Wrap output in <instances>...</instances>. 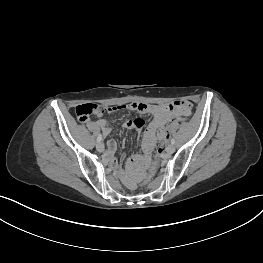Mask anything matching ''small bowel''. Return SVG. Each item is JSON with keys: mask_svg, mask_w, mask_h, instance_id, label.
<instances>
[{"mask_svg": "<svg viewBox=\"0 0 263 263\" xmlns=\"http://www.w3.org/2000/svg\"><path fill=\"white\" fill-rule=\"evenodd\" d=\"M137 106L141 102H132ZM131 103V104H132ZM146 104V103H145ZM149 108V111L146 113L152 117V121L148 125V128L144 134L143 138V149L146 156H148L155 143L157 141L162 142L165 138V129L164 126L166 123L174 117L181 119L184 115H189L191 113V107L189 105H184L183 107L180 104H169L164 106L150 105L146 104ZM126 105L111 107L108 110L110 112L119 111L125 109ZM139 114H142L138 109L136 110ZM145 115V114H143ZM145 122L141 118L129 119L123 122V126L133 130H141ZM96 126L100 129L101 135L107 136L111 132V126L105 119H99L96 121ZM117 149V143L115 140H109L107 143L106 155L112 157ZM140 161L139 157H134L132 159V164L135 165Z\"/></svg>", "mask_w": 263, "mask_h": 263, "instance_id": "1", "label": "small bowel"}]
</instances>
